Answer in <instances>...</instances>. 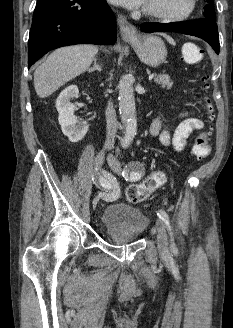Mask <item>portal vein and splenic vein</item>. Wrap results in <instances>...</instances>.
Masks as SVG:
<instances>
[{"label":"portal vein and splenic vein","instance_id":"obj_1","mask_svg":"<svg viewBox=\"0 0 233 328\" xmlns=\"http://www.w3.org/2000/svg\"><path fill=\"white\" fill-rule=\"evenodd\" d=\"M154 77V74L149 75V80L151 81Z\"/></svg>","mask_w":233,"mask_h":328}]
</instances>
